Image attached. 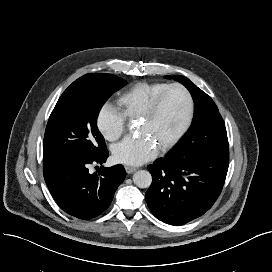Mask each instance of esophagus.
<instances>
[{"instance_id": "obj_1", "label": "esophagus", "mask_w": 272, "mask_h": 272, "mask_svg": "<svg viewBox=\"0 0 272 272\" xmlns=\"http://www.w3.org/2000/svg\"><path fill=\"white\" fill-rule=\"evenodd\" d=\"M125 170L128 174H132L133 172H135L137 170V168L131 167V166H125Z\"/></svg>"}]
</instances>
